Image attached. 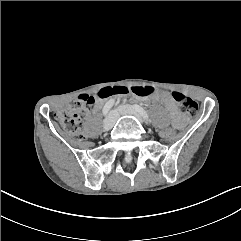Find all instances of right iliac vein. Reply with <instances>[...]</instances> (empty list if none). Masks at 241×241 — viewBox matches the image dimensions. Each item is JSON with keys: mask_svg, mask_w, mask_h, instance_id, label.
Segmentation results:
<instances>
[{"mask_svg": "<svg viewBox=\"0 0 241 241\" xmlns=\"http://www.w3.org/2000/svg\"><path fill=\"white\" fill-rule=\"evenodd\" d=\"M115 120H116V112L113 111L104 120V123H103L104 130L105 131L110 130L114 126Z\"/></svg>", "mask_w": 241, "mask_h": 241, "instance_id": "63e3f726", "label": "right iliac vein"}]
</instances>
